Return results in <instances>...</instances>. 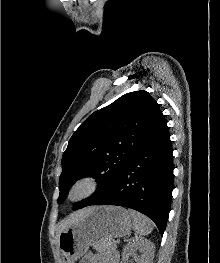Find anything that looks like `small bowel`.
<instances>
[{
    "label": "small bowel",
    "mask_w": 220,
    "mask_h": 263,
    "mask_svg": "<svg viewBox=\"0 0 220 263\" xmlns=\"http://www.w3.org/2000/svg\"><path fill=\"white\" fill-rule=\"evenodd\" d=\"M81 263H109V262L99 257H96L93 254H87L84 256Z\"/></svg>",
    "instance_id": "small-bowel-1"
}]
</instances>
